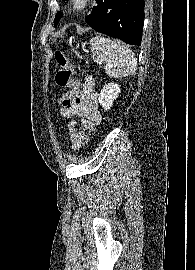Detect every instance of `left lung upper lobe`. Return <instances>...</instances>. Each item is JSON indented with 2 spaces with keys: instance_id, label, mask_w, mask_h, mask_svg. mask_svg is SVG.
I'll return each mask as SVG.
<instances>
[{
  "instance_id": "obj_1",
  "label": "left lung upper lobe",
  "mask_w": 195,
  "mask_h": 270,
  "mask_svg": "<svg viewBox=\"0 0 195 270\" xmlns=\"http://www.w3.org/2000/svg\"><path fill=\"white\" fill-rule=\"evenodd\" d=\"M62 17V13L61 12H58L55 16V20H54V26H57L60 18Z\"/></svg>"
}]
</instances>
